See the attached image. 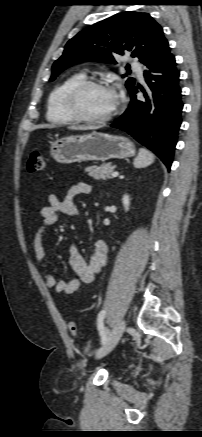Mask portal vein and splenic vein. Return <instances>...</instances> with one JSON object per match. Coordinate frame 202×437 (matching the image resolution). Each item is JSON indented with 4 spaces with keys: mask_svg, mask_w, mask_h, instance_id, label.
Returning <instances> with one entry per match:
<instances>
[{
    "mask_svg": "<svg viewBox=\"0 0 202 437\" xmlns=\"http://www.w3.org/2000/svg\"><path fill=\"white\" fill-rule=\"evenodd\" d=\"M119 175L118 172H112V177H117Z\"/></svg>",
    "mask_w": 202,
    "mask_h": 437,
    "instance_id": "portal-vein-and-splenic-vein-1",
    "label": "portal vein and splenic vein"
}]
</instances>
